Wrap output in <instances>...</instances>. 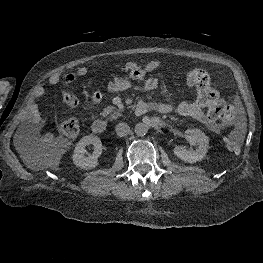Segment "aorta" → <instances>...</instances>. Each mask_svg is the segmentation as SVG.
<instances>
[{"label":"aorta","instance_id":"obj_1","mask_svg":"<svg viewBox=\"0 0 263 263\" xmlns=\"http://www.w3.org/2000/svg\"><path fill=\"white\" fill-rule=\"evenodd\" d=\"M135 134L138 136H144L148 132V126L145 123H138L135 126Z\"/></svg>","mask_w":263,"mask_h":263}]
</instances>
